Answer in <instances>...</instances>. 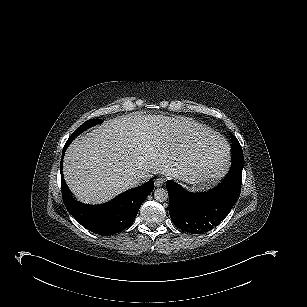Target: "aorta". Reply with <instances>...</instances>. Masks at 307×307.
Returning <instances> with one entry per match:
<instances>
[{
  "label": "aorta",
  "instance_id": "762f6f07",
  "mask_svg": "<svg viewBox=\"0 0 307 307\" xmlns=\"http://www.w3.org/2000/svg\"><path fill=\"white\" fill-rule=\"evenodd\" d=\"M168 191L164 188H157L154 191V198L158 202H165L168 200Z\"/></svg>",
  "mask_w": 307,
  "mask_h": 307
}]
</instances>
